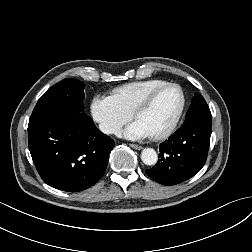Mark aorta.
<instances>
[{
  "mask_svg": "<svg viewBox=\"0 0 252 252\" xmlns=\"http://www.w3.org/2000/svg\"><path fill=\"white\" fill-rule=\"evenodd\" d=\"M141 160L148 166L155 165L158 160V155L154 149L145 148L141 153Z\"/></svg>",
  "mask_w": 252,
  "mask_h": 252,
  "instance_id": "762f6f07",
  "label": "aorta"
}]
</instances>
